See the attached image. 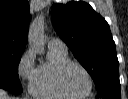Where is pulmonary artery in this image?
I'll list each match as a JSON object with an SVG mask.
<instances>
[{
	"mask_svg": "<svg viewBox=\"0 0 128 99\" xmlns=\"http://www.w3.org/2000/svg\"><path fill=\"white\" fill-rule=\"evenodd\" d=\"M48 47L60 51H67L66 44L61 39L58 38H51L48 42Z\"/></svg>",
	"mask_w": 128,
	"mask_h": 99,
	"instance_id": "1",
	"label": "pulmonary artery"
}]
</instances>
